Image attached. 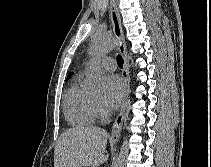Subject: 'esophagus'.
I'll use <instances>...</instances> for the list:
<instances>
[{"label": "esophagus", "instance_id": "34e87169", "mask_svg": "<svg viewBox=\"0 0 211 167\" xmlns=\"http://www.w3.org/2000/svg\"><path fill=\"white\" fill-rule=\"evenodd\" d=\"M110 10H111V21H112L113 31L118 42V50L123 56V60H124V66L122 69V77L124 80L123 100H122L120 112L113 123L112 132H111V140L118 141L121 135L123 119H124L125 111H126V105H127V100H128L129 90H130V79H129V64H128L126 45H125V41H124V37L122 33L119 12L114 0H110Z\"/></svg>", "mask_w": 211, "mask_h": 167}]
</instances>
